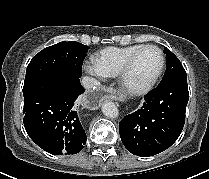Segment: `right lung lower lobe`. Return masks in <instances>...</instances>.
I'll list each match as a JSON object with an SVG mask.
<instances>
[{
	"label": "right lung lower lobe",
	"instance_id": "right-lung-lower-lobe-1",
	"mask_svg": "<svg viewBox=\"0 0 209 179\" xmlns=\"http://www.w3.org/2000/svg\"><path fill=\"white\" fill-rule=\"evenodd\" d=\"M79 76L58 74L37 86L25 99V129L43 150L54 155L80 152L86 134L74 102L84 93Z\"/></svg>",
	"mask_w": 209,
	"mask_h": 179
}]
</instances>
